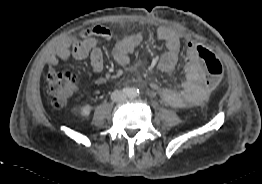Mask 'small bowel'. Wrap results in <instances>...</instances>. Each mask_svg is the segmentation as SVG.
<instances>
[{"label": "small bowel", "mask_w": 262, "mask_h": 184, "mask_svg": "<svg viewBox=\"0 0 262 184\" xmlns=\"http://www.w3.org/2000/svg\"><path fill=\"white\" fill-rule=\"evenodd\" d=\"M113 32L102 25H95L81 32L80 39H67L59 42L55 50L47 57L48 67H55L59 61H67L71 58L82 60L89 58L94 72L100 73L104 68V58L100 49L101 40H110ZM158 39L164 44L165 51L161 55L158 68L164 74L172 73L179 62L182 37L172 28H160L157 33ZM144 35L141 33L128 34L118 40L113 47V58L121 66L129 63L131 53L142 43ZM183 55V74L185 80L180 89H160L158 85L151 84L152 89L157 91L165 103L174 107H188L204 102L209 94L210 87L204 82L206 70L197 58L195 43L188 41ZM106 82L104 77L96 79L98 85Z\"/></svg>", "instance_id": "small-bowel-1"}]
</instances>
